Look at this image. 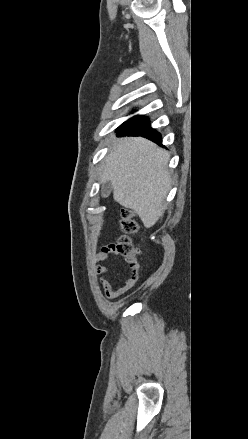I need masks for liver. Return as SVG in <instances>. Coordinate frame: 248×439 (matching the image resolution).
Wrapping results in <instances>:
<instances>
[{
    "instance_id": "obj_1",
    "label": "liver",
    "mask_w": 248,
    "mask_h": 439,
    "mask_svg": "<svg viewBox=\"0 0 248 439\" xmlns=\"http://www.w3.org/2000/svg\"><path fill=\"white\" fill-rule=\"evenodd\" d=\"M111 146L100 180L111 182L114 200L133 210L145 227L154 226L171 187L169 154L142 137L120 138Z\"/></svg>"
}]
</instances>
